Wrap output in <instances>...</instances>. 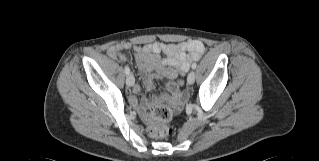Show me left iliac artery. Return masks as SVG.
<instances>
[{
  "mask_svg": "<svg viewBox=\"0 0 319 161\" xmlns=\"http://www.w3.org/2000/svg\"><path fill=\"white\" fill-rule=\"evenodd\" d=\"M196 66H197V64H196V63H193L191 67H192V69H195Z\"/></svg>",
  "mask_w": 319,
  "mask_h": 161,
  "instance_id": "left-iliac-artery-1",
  "label": "left iliac artery"
}]
</instances>
